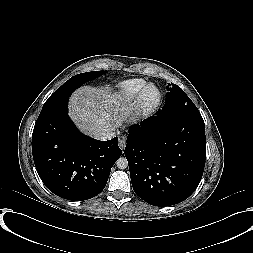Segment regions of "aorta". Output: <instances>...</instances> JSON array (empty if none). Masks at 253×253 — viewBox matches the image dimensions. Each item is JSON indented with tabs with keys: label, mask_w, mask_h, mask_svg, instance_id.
<instances>
[{
	"label": "aorta",
	"mask_w": 253,
	"mask_h": 253,
	"mask_svg": "<svg viewBox=\"0 0 253 253\" xmlns=\"http://www.w3.org/2000/svg\"><path fill=\"white\" fill-rule=\"evenodd\" d=\"M116 166L119 169H125L128 167V160L125 157H120L116 161Z\"/></svg>",
	"instance_id": "1"
}]
</instances>
